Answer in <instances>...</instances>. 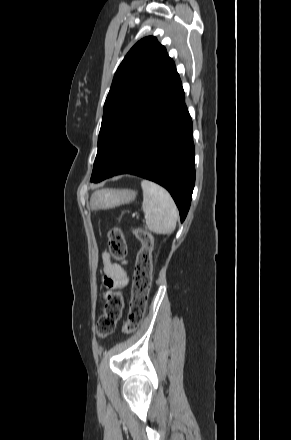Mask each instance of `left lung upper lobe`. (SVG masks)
<instances>
[{
  "instance_id": "left-lung-upper-lobe-1",
  "label": "left lung upper lobe",
  "mask_w": 291,
  "mask_h": 440,
  "mask_svg": "<svg viewBox=\"0 0 291 440\" xmlns=\"http://www.w3.org/2000/svg\"><path fill=\"white\" fill-rule=\"evenodd\" d=\"M173 60L155 37L138 41L119 65L104 104L96 176L135 119L150 105L176 74Z\"/></svg>"
}]
</instances>
